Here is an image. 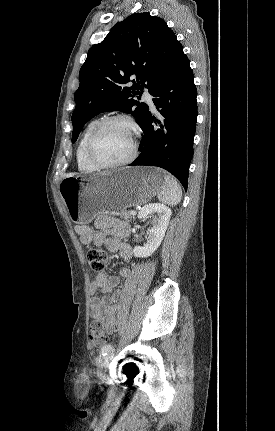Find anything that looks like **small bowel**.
Returning <instances> with one entry per match:
<instances>
[{"mask_svg": "<svg viewBox=\"0 0 275 431\" xmlns=\"http://www.w3.org/2000/svg\"><path fill=\"white\" fill-rule=\"evenodd\" d=\"M75 232L79 235L83 244H95L97 246H106V248L117 253L123 260H129L132 257V248L129 244L123 242L129 234V226L121 221L111 218H100L95 223V229L87 225H76ZM131 270L123 267L119 276H108L106 273H98L90 285V314L91 318L99 321L109 334L115 332L118 318L121 312L119 299L122 295L120 290H115L121 278H129ZM102 292L104 295L98 297L97 293Z\"/></svg>", "mask_w": 275, "mask_h": 431, "instance_id": "c3829d8e", "label": "small bowel"}]
</instances>
